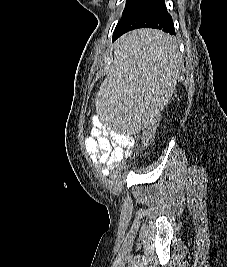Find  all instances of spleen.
<instances>
[{
    "label": "spleen",
    "instance_id": "3e777b00",
    "mask_svg": "<svg viewBox=\"0 0 227 267\" xmlns=\"http://www.w3.org/2000/svg\"><path fill=\"white\" fill-rule=\"evenodd\" d=\"M113 46L117 63H107L96 100L99 115H159L175 89L179 73L176 41L159 31L133 29ZM152 104L153 106H128ZM151 116H101L106 129H118L122 137H138Z\"/></svg>",
    "mask_w": 227,
    "mask_h": 267
}]
</instances>
